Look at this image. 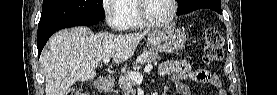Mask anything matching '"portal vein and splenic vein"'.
I'll list each match as a JSON object with an SVG mask.
<instances>
[{"label":"portal vein and splenic vein","mask_w":277,"mask_h":95,"mask_svg":"<svg viewBox=\"0 0 277 95\" xmlns=\"http://www.w3.org/2000/svg\"><path fill=\"white\" fill-rule=\"evenodd\" d=\"M110 61V58H104L103 62L106 64ZM153 69V66L151 64H148L144 68V72H150ZM129 78L133 81H139L143 79V75L140 72H130Z\"/></svg>","instance_id":"1"}]
</instances>
